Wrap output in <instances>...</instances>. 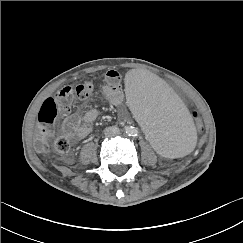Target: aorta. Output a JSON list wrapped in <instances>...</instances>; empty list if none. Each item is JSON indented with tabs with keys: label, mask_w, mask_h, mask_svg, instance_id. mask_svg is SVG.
Listing matches in <instances>:
<instances>
[{
	"label": "aorta",
	"mask_w": 243,
	"mask_h": 243,
	"mask_svg": "<svg viewBox=\"0 0 243 243\" xmlns=\"http://www.w3.org/2000/svg\"><path fill=\"white\" fill-rule=\"evenodd\" d=\"M132 129L131 128H126L127 133H131Z\"/></svg>",
	"instance_id": "1"
}]
</instances>
